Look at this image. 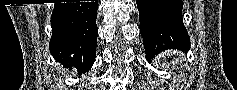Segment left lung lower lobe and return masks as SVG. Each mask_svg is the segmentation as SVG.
Returning a JSON list of instances; mask_svg holds the SVG:
<instances>
[{
    "instance_id": "left-lung-lower-lobe-1",
    "label": "left lung lower lobe",
    "mask_w": 237,
    "mask_h": 90,
    "mask_svg": "<svg viewBox=\"0 0 237 90\" xmlns=\"http://www.w3.org/2000/svg\"><path fill=\"white\" fill-rule=\"evenodd\" d=\"M140 33L147 58L166 49H190V40L182 21L181 0H137Z\"/></svg>"
}]
</instances>
